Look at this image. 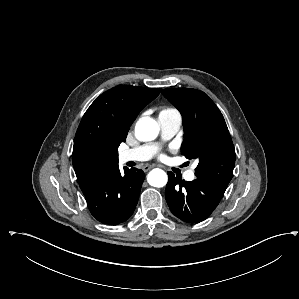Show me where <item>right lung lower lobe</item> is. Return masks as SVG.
Here are the masks:
<instances>
[{
  "label": "right lung lower lobe",
  "mask_w": 299,
  "mask_h": 299,
  "mask_svg": "<svg viewBox=\"0 0 299 299\" xmlns=\"http://www.w3.org/2000/svg\"><path fill=\"white\" fill-rule=\"evenodd\" d=\"M124 174L118 165L105 169L83 192L91 214L104 224L117 225L126 221L138 202L144 172L125 168Z\"/></svg>",
  "instance_id": "obj_1"
}]
</instances>
